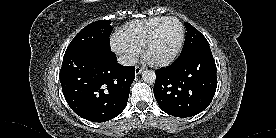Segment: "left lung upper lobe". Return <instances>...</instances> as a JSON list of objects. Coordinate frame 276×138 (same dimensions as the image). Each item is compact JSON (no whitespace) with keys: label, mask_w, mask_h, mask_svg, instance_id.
Segmentation results:
<instances>
[{"label":"left lung upper lobe","mask_w":276,"mask_h":138,"mask_svg":"<svg viewBox=\"0 0 276 138\" xmlns=\"http://www.w3.org/2000/svg\"><path fill=\"white\" fill-rule=\"evenodd\" d=\"M185 26L187 33L184 46L179 58H183L199 48L209 47V43L203 34H201L195 27H193L188 22L185 23Z\"/></svg>","instance_id":"1"}]
</instances>
